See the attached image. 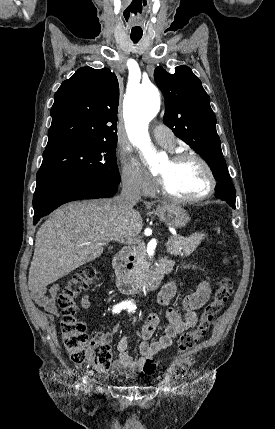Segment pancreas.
Masks as SVG:
<instances>
[{"label": "pancreas", "mask_w": 275, "mask_h": 429, "mask_svg": "<svg viewBox=\"0 0 275 429\" xmlns=\"http://www.w3.org/2000/svg\"><path fill=\"white\" fill-rule=\"evenodd\" d=\"M204 239V233H194L188 237H172L170 239L171 245L167 247V252L174 256L190 255ZM133 255L136 259V264L135 268L131 271V275H138L140 271L148 267L146 250L143 243L139 242V247L133 251Z\"/></svg>", "instance_id": "1"}]
</instances>
